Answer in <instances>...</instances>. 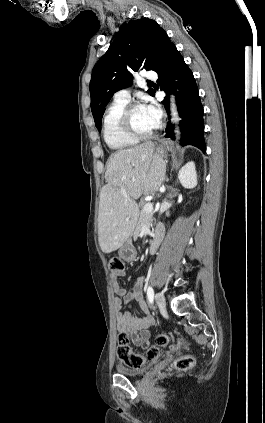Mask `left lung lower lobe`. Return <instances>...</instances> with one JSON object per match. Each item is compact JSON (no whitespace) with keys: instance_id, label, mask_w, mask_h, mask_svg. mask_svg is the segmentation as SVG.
I'll list each match as a JSON object with an SVG mask.
<instances>
[{"instance_id":"1","label":"left lung lower lobe","mask_w":265,"mask_h":423,"mask_svg":"<svg viewBox=\"0 0 265 423\" xmlns=\"http://www.w3.org/2000/svg\"><path fill=\"white\" fill-rule=\"evenodd\" d=\"M156 72L159 75L157 83L161 90L167 91L168 95L172 90L176 95L178 112L182 118L179 124L182 132L181 143L194 145L205 152L203 107L197 85L191 70L173 43L170 42L166 47L163 63ZM171 79L174 80L172 84ZM162 104L170 114L169 98H165ZM165 133V137L174 139L171 122L168 123Z\"/></svg>"}]
</instances>
